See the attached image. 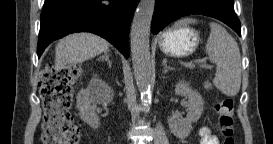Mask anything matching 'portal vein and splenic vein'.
Wrapping results in <instances>:
<instances>
[{
    "label": "portal vein and splenic vein",
    "instance_id": "1",
    "mask_svg": "<svg viewBox=\"0 0 273 144\" xmlns=\"http://www.w3.org/2000/svg\"><path fill=\"white\" fill-rule=\"evenodd\" d=\"M203 66L209 67V65H207V63H204ZM190 67L193 68V67H194V64L191 63V64H190Z\"/></svg>",
    "mask_w": 273,
    "mask_h": 144
}]
</instances>
